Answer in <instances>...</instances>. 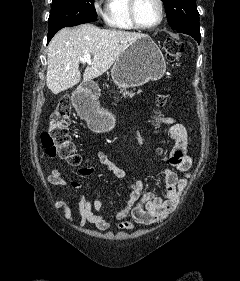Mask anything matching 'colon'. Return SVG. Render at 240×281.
<instances>
[{
    "label": "colon",
    "mask_w": 240,
    "mask_h": 281,
    "mask_svg": "<svg viewBox=\"0 0 240 281\" xmlns=\"http://www.w3.org/2000/svg\"><path fill=\"white\" fill-rule=\"evenodd\" d=\"M164 51L169 60H177L183 51L182 44L177 40L167 39L164 43ZM165 102L164 96L159 97L157 101L160 107L164 106ZM70 116V100L62 98L51 114L48 130L41 135V143L49 157H59L70 166L79 167L82 165L83 159L71 141L68 128Z\"/></svg>",
    "instance_id": "1"
}]
</instances>
